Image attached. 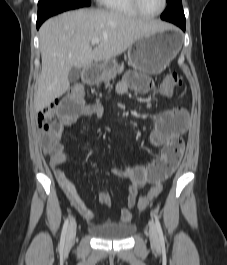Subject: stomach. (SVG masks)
<instances>
[{"label":"stomach","mask_w":227,"mask_h":265,"mask_svg":"<svg viewBox=\"0 0 227 265\" xmlns=\"http://www.w3.org/2000/svg\"><path fill=\"white\" fill-rule=\"evenodd\" d=\"M181 47L175 33L156 32L136 40L128 48V62L134 69L147 74H160L176 57ZM117 63L113 60L94 67L88 82L98 83L114 73Z\"/></svg>","instance_id":"0dacf381"}]
</instances>
